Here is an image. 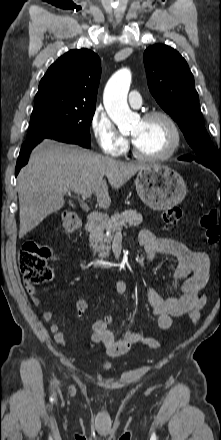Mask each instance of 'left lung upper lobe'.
<instances>
[{
  "label": "left lung upper lobe",
  "instance_id": "5c2ea615",
  "mask_svg": "<svg viewBox=\"0 0 221 440\" xmlns=\"http://www.w3.org/2000/svg\"><path fill=\"white\" fill-rule=\"evenodd\" d=\"M147 83L158 104L177 122L198 157L197 162L221 171L219 154L206 131L194 77L185 59L173 48L157 44L143 55ZM189 161L192 156H184Z\"/></svg>",
  "mask_w": 221,
  "mask_h": 440
}]
</instances>
